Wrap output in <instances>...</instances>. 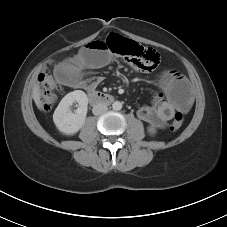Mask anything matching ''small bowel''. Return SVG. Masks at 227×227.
Here are the masks:
<instances>
[{
	"label": "small bowel",
	"mask_w": 227,
	"mask_h": 227,
	"mask_svg": "<svg viewBox=\"0 0 227 227\" xmlns=\"http://www.w3.org/2000/svg\"><path fill=\"white\" fill-rule=\"evenodd\" d=\"M112 58L106 43L101 39H94L82 47L76 55L58 64L54 69V76L58 81L71 88L93 91L101 82V77L84 78V70L102 68L108 65ZM129 65L139 70L132 63ZM159 85L163 93L155 94L150 105L139 108L137 116L142 121L163 129L176 110L183 112L190 110L193 97L187 79L176 71L162 72L159 77Z\"/></svg>",
	"instance_id": "c3829d8e"
}]
</instances>
